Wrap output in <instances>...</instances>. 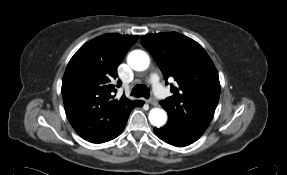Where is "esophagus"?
<instances>
[{
	"label": "esophagus",
	"instance_id": "1",
	"mask_svg": "<svg viewBox=\"0 0 287 175\" xmlns=\"http://www.w3.org/2000/svg\"><path fill=\"white\" fill-rule=\"evenodd\" d=\"M149 103L153 106H157L158 105V102L156 101V99L154 97H151L149 99Z\"/></svg>",
	"mask_w": 287,
	"mask_h": 175
}]
</instances>
